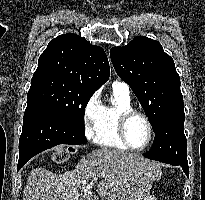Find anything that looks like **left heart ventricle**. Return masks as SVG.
<instances>
[{
    "label": "left heart ventricle",
    "mask_w": 205,
    "mask_h": 200,
    "mask_svg": "<svg viewBox=\"0 0 205 200\" xmlns=\"http://www.w3.org/2000/svg\"><path fill=\"white\" fill-rule=\"evenodd\" d=\"M148 127L141 117H133L127 125V138L134 147L143 146L148 139Z\"/></svg>",
    "instance_id": "1"
}]
</instances>
